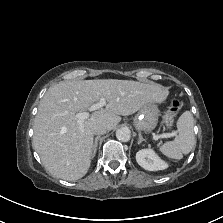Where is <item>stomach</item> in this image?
Segmentation results:
<instances>
[{
    "label": "stomach",
    "mask_w": 223,
    "mask_h": 223,
    "mask_svg": "<svg viewBox=\"0 0 223 223\" xmlns=\"http://www.w3.org/2000/svg\"><path fill=\"white\" fill-rule=\"evenodd\" d=\"M159 110L154 102L144 105L136 115L135 127L138 130L150 132L158 123Z\"/></svg>",
    "instance_id": "stomach-1"
}]
</instances>
